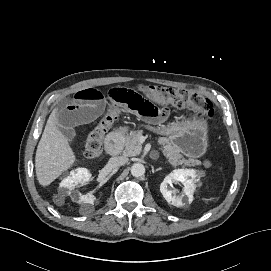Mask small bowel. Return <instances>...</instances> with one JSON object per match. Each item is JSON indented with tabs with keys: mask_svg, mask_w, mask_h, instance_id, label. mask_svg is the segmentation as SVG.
I'll return each mask as SVG.
<instances>
[{
	"mask_svg": "<svg viewBox=\"0 0 271 271\" xmlns=\"http://www.w3.org/2000/svg\"><path fill=\"white\" fill-rule=\"evenodd\" d=\"M108 104L151 124L162 123L169 115L164 103L146 89L136 91L113 87L104 95L97 89L87 88L77 91L63 108L49 118L47 130L59 132L67 141L73 142L76 128L94 122L105 112Z\"/></svg>",
	"mask_w": 271,
	"mask_h": 271,
	"instance_id": "1",
	"label": "small bowel"
}]
</instances>
